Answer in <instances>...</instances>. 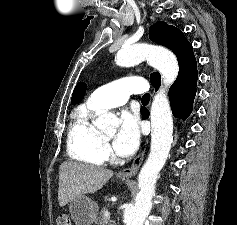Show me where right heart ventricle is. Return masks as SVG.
Masks as SVG:
<instances>
[{
  "label": "right heart ventricle",
  "instance_id": "right-heart-ventricle-1",
  "mask_svg": "<svg viewBox=\"0 0 237 225\" xmlns=\"http://www.w3.org/2000/svg\"><path fill=\"white\" fill-rule=\"evenodd\" d=\"M101 110L87 101L75 113L68 133V154L71 158L94 165H102L103 136L94 126L93 118Z\"/></svg>",
  "mask_w": 237,
  "mask_h": 225
}]
</instances>
